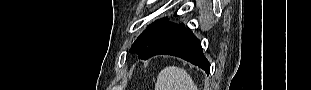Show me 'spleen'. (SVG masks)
I'll return each instance as SVG.
<instances>
[{
  "mask_svg": "<svg viewBox=\"0 0 311 90\" xmlns=\"http://www.w3.org/2000/svg\"><path fill=\"white\" fill-rule=\"evenodd\" d=\"M155 90H197V86L186 70L168 66L158 74Z\"/></svg>",
  "mask_w": 311,
  "mask_h": 90,
  "instance_id": "3e777b00",
  "label": "spleen"
}]
</instances>
